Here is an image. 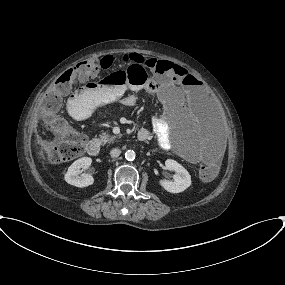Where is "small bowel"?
Segmentation results:
<instances>
[{
    "mask_svg": "<svg viewBox=\"0 0 285 285\" xmlns=\"http://www.w3.org/2000/svg\"><path fill=\"white\" fill-rule=\"evenodd\" d=\"M135 61L146 60L140 55L134 57ZM172 76L164 78V85L177 84ZM154 87V91L149 89V85ZM142 89L160 95V101L166 117L157 118L153 122L152 132L157 143L164 148L170 147L172 137L170 135L169 124L180 125L184 120L191 119L194 114L192 101L183 95L180 97L164 96L158 82L151 80L144 86L102 84L97 81L85 83L75 90L67 100V110L72 115H83L87 110L96 105L120 101L124 106H133L136 103V93ZM191 97L196 101L197 96L191 90ZM139 132H146V139L151 136V131L142 128ZM144 140V141H145ZM184 142L188 145V158L191 161H209L219 154L224 147V142L218 137L209 123H201L192 136L185 137Z\"/></svg>",
    "mask_w": 285,
    "mask_h": 285,
    "instance_id": "c3829d8e",
    "label": "small bowel"
}]
</instances>
